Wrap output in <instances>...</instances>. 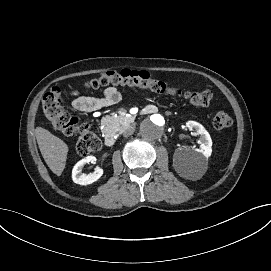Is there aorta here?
Here are the masks:
<instances>
[{"label": "aorta", "instance_id": "aorta-1", "mask_svg": "<svg viewBox=\"0 0 271 271\" xmlns=\"http://www.w3.org/2000/svg\"><path fill=\"white\" fill-rule=\"evenodd\" d=\"M167 126L165 118L160 114H153L144 119L139 127L140 134L148 140L159 139Z\"/></svg>", "mask_w": 271, "mask_h": 271}]
</instances>
